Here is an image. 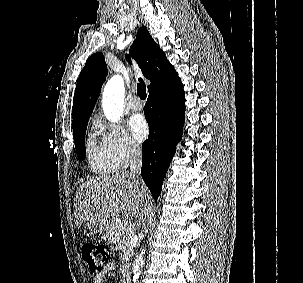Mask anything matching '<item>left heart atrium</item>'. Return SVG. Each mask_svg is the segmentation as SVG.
Wrapping results in <instances>:
<instances>
[{
	"mask_svg": "<svg viewBox=\"0 0 303 283\" xmlns=\"http://www.w3.org/2000/svg\"><path fill=\"white\" fill-rule=\"evenodd\" d=\"M130 130L134 139L138 142L144 141L149 134V126L145 117L136 114L131 117L129 122Z\"/></svg>",
	"mask_w": 303,
	"mask_h": 283,
	"instance_id": "39dd6f15",
	"label": "left heart atrium"
}]
</instances>
